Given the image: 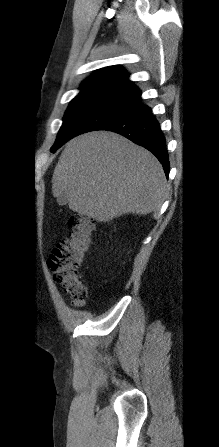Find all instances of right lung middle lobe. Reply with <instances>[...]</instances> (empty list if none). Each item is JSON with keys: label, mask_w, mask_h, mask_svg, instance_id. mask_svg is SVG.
I'll return each instance as SVG.
<instances>
[{"label": "right lung middle lobe", "mask_w": 219, "mask_h": 447, "mask_svg": "<svg viewBox=\"0 0 219 447\" xmlns=\"http://www.w3.org/2000/svg\"><path fill=\"white\" fill-rule=\"evenodd\" d=\"M82 91L70 103L63 118L56 142L51 151H56L71 138L97 130L106 122L124 115L142 103L110 88H81Z\"/></svg>", "instance_id": "1"}]
</instances>
